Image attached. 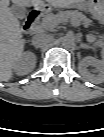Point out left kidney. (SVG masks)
<instances>
[{"label":"left kidney","mask_w":104,"mask_h":137,"mask_svg":"<svg viewBox=\"0 0 104 137\" xmlns=\"http://www.w3.org/2000/svg\"><path fill=\"white\" fill-rule=\"evenodd\" d=\"M87 65H93L94 67L97 68V70L99 71V75H98V80L102 81L103 80V70H104V63L101 60H98L94 57H85L80 63H79V67L82 73H86V69L85 66Z\"/></svg>","instance_id":"obj_1"}]
</instances>
